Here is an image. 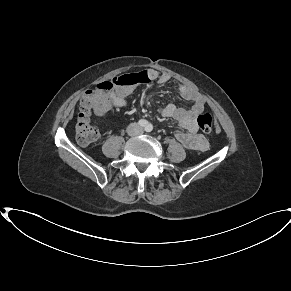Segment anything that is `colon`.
Masks as SVG:
<instances>
[{"label":"colon","mask_w":291,"mask_h":291,"mask_svg":"<svg viewBox=\"0 0 291 291\" xmlns=\"http://www.w3.org/2000/svg\"><path fill=\"white\" fill-rule=\"evenodd\" d=\"M141 81L140 73L122 75L100 82L89 91L80 103V112L76 122L77 141L82 145H88L98 139L99 133L92 122V113L103 115L107 111V104L102 99L106 98L108 92L116 87H126ZM197 124L202 132L210 133L213 129L212 116L209 113L199 115Z\"/></svg>","instance_id":"obj_1"}]
</instances>
